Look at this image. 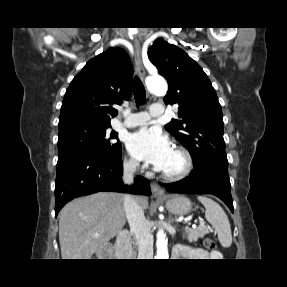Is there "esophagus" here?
Wrapping results in <instances>:
<instances>
[{
    "label": "esophagus",
    "instance_id": "34e87169",
    "mask_svg": "<svg viewBox=\"0 0 287 287\" xmlns=\"http://www.w3.org/2000/svg\"><path fill=\"white\" fill-rule=\"evenodd\" d=\"M134 55H135V67H136V72L138 73L139 77L141 79L144 78L145 76V69L142 64V59H141V45L138 40H134ZM151 186V191L154 196H161L164 194V191L162 188L156 183L152 182L150 184Z\"/></svg>",
    "mask_w": 287,
    "mask_h": 287
}]
</instances>
